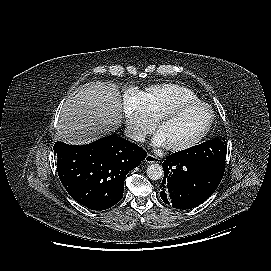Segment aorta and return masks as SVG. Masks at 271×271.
<instances>
[{
  "mask_svg": "<svg viewBox=\"0 0 271 271\" xmlns=\"http://www.w3.org/2000/svg\"><path fill=\"white\" fill-rule=\"evenodd\" d=\"M164 174L163 168L161 165L159 164H150L147 167V176L151 179V180H159L160 178H162Z\"/></svg>",
  "mask_w": 271,
  "mask_h": 271,
  "instance_id": "762f6f07",
  "label": "aorta"
}]
</instances>
